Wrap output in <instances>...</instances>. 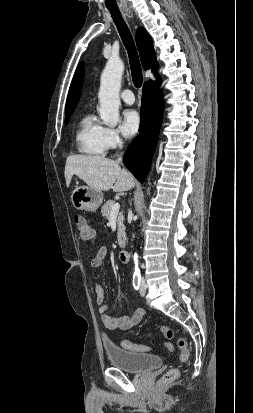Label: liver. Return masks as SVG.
Returning a JSON list of instances; mask_svg holds the SVG:
<instances>
[{
    "label": "liver",
    "instance_id": "liver-1",
    "mask_svg": "<svg viewBox=\"0 0 253 413\" xmlns=\"http://www.w3.org/2000/svg\"><path fill=\"white\" fill-rule=\"evenodd\" d=\"M77 175L90 188L98 191H128L134 186L130 172L121 169L118 162L103 156L72 155L66 160L65 179L69 187L72 176Z\"/></svg>",
    "mask_w": 253,
    "mask_h": 413
}]
</instances>
